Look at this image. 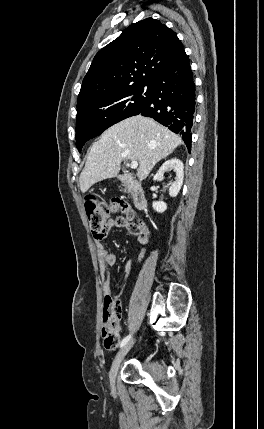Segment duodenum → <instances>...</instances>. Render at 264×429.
<instances>
[{"label":"duodenum","instance_id":"1","mask_svg":"<svg viewBox=\"0 0 264 429\" xmlns=\"http://www.w3.org/2000/svg\"><path fill=\"white\" fill-rule=\"evenodd\" d=\"M117 178L128 186L136 209L139 211L144 210L147 206V200L145 193L139 183L128 175H118Z\"/></svg>","mask_w":264,"mask_h":429}]
</instances>
